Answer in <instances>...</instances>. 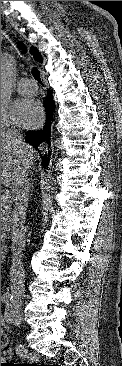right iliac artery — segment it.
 Returning a JSON list of instances; mask_svg holds the SVG:
<instances>
[{
	"label": "right iliac artery",
	"instance_id": "82829eb1",
	"mask_svg": "<svg viewBox=\"0 0 122 366\" xmlns=\"http://www.w3.org/2000/svg\"><path fill=\"white\" fill-rule=\"evenodd\" d=\"M12 299V297H10L9 295L5 294L1 297V301L8 303L10 300Z\"/></svg>",
	"mask_w": 122,
	"mask_h": 366
}]
</instances>
